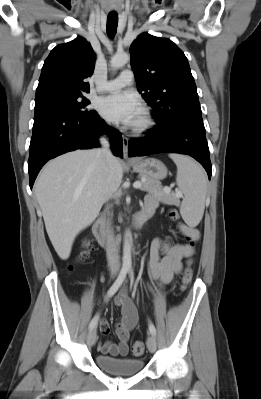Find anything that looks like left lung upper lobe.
Listing matches in <instances>:
<instances>
[{
	"label": "left lung upper lobe",
	"mask_w": 261,
	"mask_h": 399,
	"mask_svg": "<svg viewBox=\"0 0 261 399\" xmlns=\"http://www.w3.org/2000/svg\"><path fill=\"white\" fill-rule=\"evenodd\" d=\"M137 89L165 124L186 113H201L197 88L185 54L167 38L142 33L130 47Z\"/></svg>",
	"instance_id": "left-lung-upper-lobe-1"
}]
</instances>
